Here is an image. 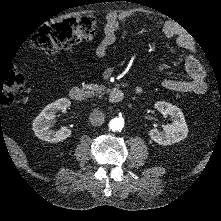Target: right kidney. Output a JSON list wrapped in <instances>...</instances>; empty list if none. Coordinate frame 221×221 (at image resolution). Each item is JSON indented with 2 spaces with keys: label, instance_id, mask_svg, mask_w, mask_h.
I'll return each mask as SVG.
<instances>
[{
  "label": "right kidney",
  "instance_id": "ca27d5eb",
  "mask_svg": "<svg viewBox=\"0 0 221 221\" xmlns=\"http://www.w3.org/2000/svg\"><path fill=\"white\" fill-rule=\"evenodd\" d=\"M70 105L71 101L68 98H60L48 104L33 120L32 129L35 135L39 139L50 143H58L70 137L71 130L65 126L57 131L51 129L56 113L65 111Z\"/></svg>",
  "mask_w": 221,
  "mask_h": 221
}]
</instances>
